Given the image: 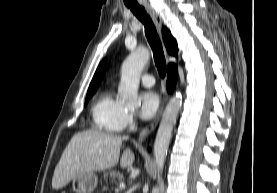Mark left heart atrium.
<instances>
[{"label": "left heart atrium", "mask_w": 277, "mask_h": 193, "mask_svg": "<svg viewBox=\"0 0 277 193\" xmlns=\"http://www.w3.org/2000/svg\"><path fill=\"white\" fill-rule=\"evenodd\" d=\"M160 99L153 91H145L140 95L139 113L144 119H152L158 112Z\"/></svg>", "instance_id": "39dd6f15"}]
</instances>
